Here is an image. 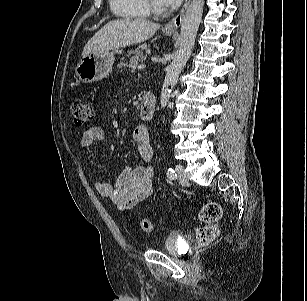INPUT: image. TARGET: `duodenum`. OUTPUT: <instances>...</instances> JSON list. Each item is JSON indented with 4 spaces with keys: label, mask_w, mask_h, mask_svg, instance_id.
I'll return each mask as SVG.
<instances>
[{
    "label": "duodenum",
    "mask_w": 307,
    "mask_h": 301,
    "mask_svg": "<svg viewBox=\"0 0 307 301\" xmlns=\"http://www.w3.org/2000/svg\"><path fill=\"white\" fill-rule=\"evenodd\" d=\"M156 111V98L154 94L147 92L144 93L141 99L139 115L145 120L153 118Z\"/></svg>",
    "instance_id": "1"
}]
</instances>
